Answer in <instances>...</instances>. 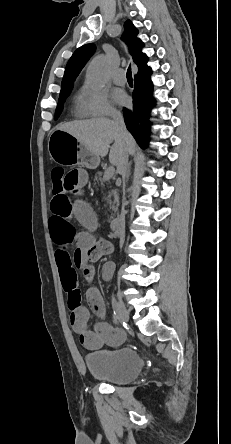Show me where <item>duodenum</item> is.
Returning a JSON list of instances; mask_svg holds the SVG:
<instances>
[{
    "instance_id": "obj_1",
    "label": "duodenum",
    "mask_w": 231,
    "mask_h": 444,
    "mask_svg": "<svg viewBox=\"0 0 231 444\" xmlns=\"http://www.w3.org/2000/svg\"><path fill=\"white\" fill-rule=\"evenodd\" d=\"M119 222H120L119 219L116 218V219L112 220L111 223H110L109 229H110V232H111L114 236H120V235L118 234V233L121 231V230L118 229ZM121 232H122V231H121Z\"/></svg>"
}]
</instances>
